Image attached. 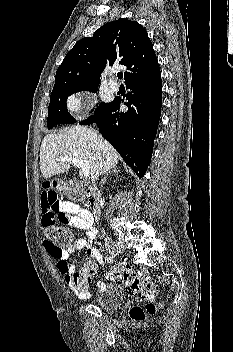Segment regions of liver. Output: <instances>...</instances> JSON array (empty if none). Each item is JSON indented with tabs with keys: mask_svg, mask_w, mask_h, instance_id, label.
Here are the masks:
<instances>
[{
	"mask_svg": "<svg viewBox=\"0 0 233 352\" xmlns=\"http://www.w3.org/2000/svg\"><path fill=\"white\" fill-rule=\"evenodd\" d=\"M65 156L87 161L92 183L116 167L120 158L108 141L84 126H72L44 137L40 148V170L45 179L69 171L71 162L57 161Z\"/></svg>",
	"mask_w": 233,
	"mask_h": 352,
	"instance_id": "1",
	"label": "liver"
}]
</instances>
